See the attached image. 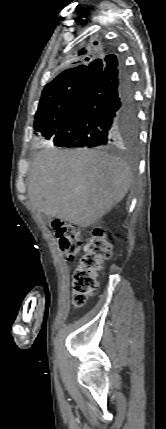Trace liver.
Returning <instances> with one entry per match:
<instances>
[{
  "label": "liver",
  "mask_w": 166,
  "mask_h": 429,
  "mask_svg": "<svg viewBox=\"0 0 166 429\" xmlns=\"http://www.w3.org/2000/svg\"><path fill=\"white\" fill-rule=\"evenodd\" d=\"M132 183L129 166L101 150L39 152L28 177L33 210L82 228L100 220L127 194Z\"/></svg>",
  "instance_id": "liver-1"
}]
</instances>
